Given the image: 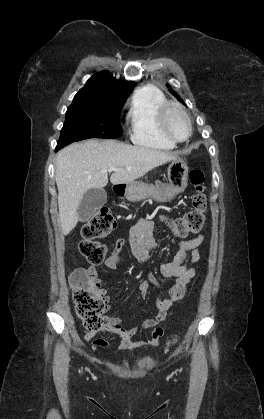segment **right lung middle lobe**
I'll list each match as a JSON object with an SVG mask.
<instances>
[{
  "label": "right lung middle lobe",
  "mask_w": 264,
  "mask_h": 419,
  "mask_svg": "<svg viewBox=\"0 0 264 419\" xmlns=\"http://www.w3.org/2000/svg\"><path fill=\"white\" fill-rule=\"evenodd\" d=\"M127 97L79 91L66 112L56 148L88 138H117L119 117Z\"/></svg>",
  "instance_id": "right-lung-middle-lobe-1"
}]
</instances>
